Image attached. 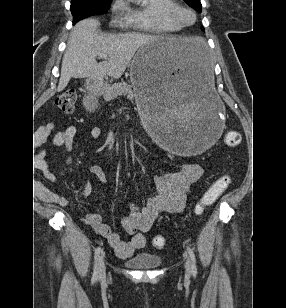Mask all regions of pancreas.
<instances>
[{
  "label": "pancreas",
  "instance_id": "pancreas-1",
  "mask_svg": "<svg viewBox=\"0 0 286 308\" xmlns=\"http://www.w3.org/2000/svg\"><path fill=\"white\" fill-rule=\"evenodd\" d=\"M102 94L106 101L114 100L121 95H128L130 98L135 97L132 87L125 82L115 83L112 86L103 87Z\"/></svg>",
  "mask_w": 286,
  "mask_h": 308
}]
</instances>
